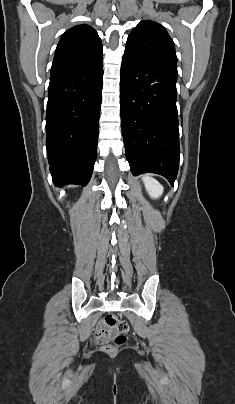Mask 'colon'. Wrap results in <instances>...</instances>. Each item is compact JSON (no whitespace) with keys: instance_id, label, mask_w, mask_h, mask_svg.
<instances>
[{"instance_id":"colon-1","label":"colon","mask_w":235,"mask_h":404,"mask_svg":"<svg viewBox=\"0 0 235 404\" xmlns=\"http://www.w3.org/2000/svg\"><path fill=\"white\" fill-rule=\"evenodd\" d=\"M128 332L127 322L120 320L115 314H106L103 319V327L96 330L95 337L98 342L106 343L116 333L114 343L105 345L106 351H113L127 342Z\"/></svg>"}]
</instances>
